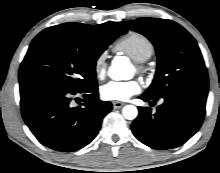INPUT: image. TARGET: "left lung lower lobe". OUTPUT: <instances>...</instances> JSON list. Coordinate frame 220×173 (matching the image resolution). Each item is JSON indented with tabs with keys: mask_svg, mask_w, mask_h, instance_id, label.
<instances>
[{
	"mask_svg": "<svg viewBox=\"0 0 220 173\" xmlns=\"http://www.w3.org/2000/svg\"><path fill=\"white\" fill-rule=\"evenodd\" d=\"M139 98L151 104L159 99L145 94ZM162 99L164 103L157 107L155 114L149 107L139 108L131 130L145 145L166 150L181 146L199 130L207 95L178 92Z\"/></svg>",
	"mask_w": 220,
	"mask_h": 173,
	"instance_id": "0a47b994",
	"label": "left lung lower lobe"
}]
</instances>
